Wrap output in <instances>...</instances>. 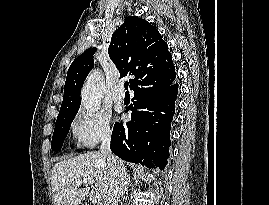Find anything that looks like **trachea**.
<instances>
[{"mask_svg":"<svg viewBox=\"0 0 269 205\" xmlns=\"http://www.w3.org/2000/svg\"><path fill=\"white\" fill-rule=\"evenodd\" d=\"M128 86H129V83L128 82H125L124 84V87H125V90L128 92Z\"/></svg>","mask_w":269,"mask_h":205,"instance_id":"1","label":"trachea"}]
</instances>
